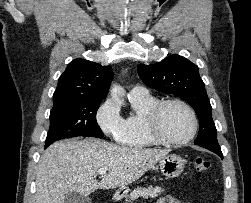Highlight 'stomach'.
Here are the masks:
<instances>
[{
	"label": "stomach",
	"mask_w": 251,
	"mask_h": 203,
	"mask_svg": "<svg viewBox=\"0 0 251 203\" xmlns=\"http://www.w3.org/2000/svg\"><path fill=\"white\" fill-rule=\"evenodd\" d=\"M184 164V160L176 154L167 155L159 161L160 171L167 178L179 176L183 172ZM128 192L129 188L123 186L119 188L116 195L118 197H124Z\"/></svg>",
	"instance_id": "0dacf381"
}]
</instances>
